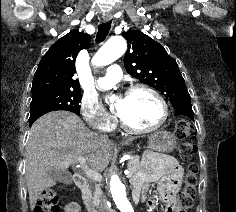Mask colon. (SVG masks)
<instances>
[{"instance_id": "colon-1", "label": "colon", "mask_w": 236, "mask_h": 212, "mask_svg": "<svg viewBox=\"0 0 236 212\" xmlns=\"http://www.w3.org/2000/svg\"><path fill=\"white\" fill-rule=\"evenodd\" d=\"M192 133L193 128L187 119L177 121L175 135L177 138L184 140L180 144L179 152L183 159L190 161L184 177V185L177 193V212H188L194 206L196 198L198 168L192 161L196 153V146L191 141L185 140L191 137ZM35 212H60L58 196L54 189H46L40 193Z\"/></svg>"}]
</instances>
